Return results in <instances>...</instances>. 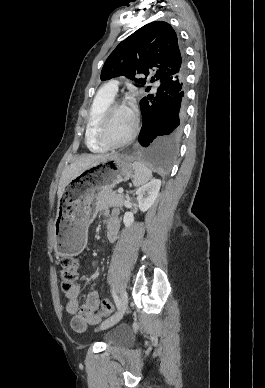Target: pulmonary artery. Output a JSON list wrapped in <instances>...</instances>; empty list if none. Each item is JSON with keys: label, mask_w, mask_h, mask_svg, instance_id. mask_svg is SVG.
<instances>
[{"label": "pulmonary artery", "mask_w": 265, "mask_h": 388, "mask_svg": "<svg viewBox=\"0 0 265 388\" xmlns=\"http://www.w3.org/2000/svg\"><path fill=\"white\" fill-rule=\"evenodd\" d=\"M118 83L115 81L113 83H102V90H118Z\"/></svg>", "instance_id": "e3ab8cb5"}]
</instances>
